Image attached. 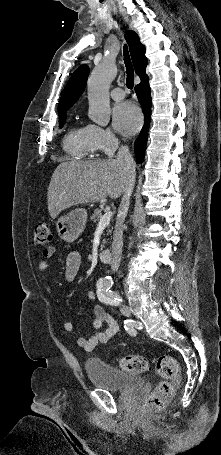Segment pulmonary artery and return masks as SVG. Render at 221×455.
<instances>
[{
	"label": "pulmonary artery",
	"instance_id": "obj_1",
	"mask_svg": "<svg viewBox=\"0 0 221 455\" xmlns=\"http://www.w3.org/2000/svg\"><path fill=\"white\" fill-rule=\"evenodd\" d=\"M111 98L115 101H121L125 97V93L122 88L116 87L111 91Z\"/></svg>",
	"mask_w": 221,
	"mask_h": 455
}]
</instances>
